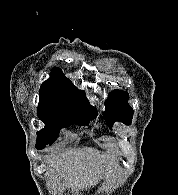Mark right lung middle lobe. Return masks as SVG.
I'll use <instances>...</instances> for the list:
<instances>
[{
    "instance_id": "1",
    "label": "right lung middle lobe",
    "mask_w": 178,
    "mask_h": 195,
    "mask_svg": "<svg viewBox=\"0 0 178 195\" xmlns=\"http://www.w3.org/2000/svg\"><path fill=\"white\" fill-rule=\"evenodd\" d=\"M37 114L45 127L37 132L35 147L38 150L44 149L46 145H51L59 136L62 128L71 124L84 126L89 125V118H95L97 110L90 105H45L39 104Z\"/></svg>"
}]
</instances>
